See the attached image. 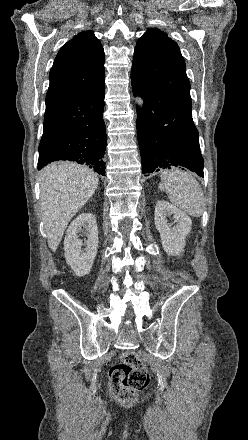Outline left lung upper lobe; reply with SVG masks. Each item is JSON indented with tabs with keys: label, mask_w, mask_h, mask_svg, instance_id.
Listing matches in <instances>:
<instances>
[{
	"label": "left lung upper lobe",
	"mask_w": 248,
	"mask_h": 440,
	"mask_svg": "<svg viewBox=\"0 0 248 440\" xmlns=\"http://www.w3.org/2000/svg\"><path fill=\"white\" fill-rule=\"evenodd\" d=\"M131 73L142 84L162 92L192 112L190 82L178 45L163 31L148 29L138 39Z\"/></svg>",
	"instance_id": "5c2ea615"
}]
</instances>
